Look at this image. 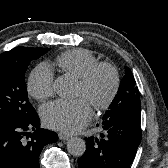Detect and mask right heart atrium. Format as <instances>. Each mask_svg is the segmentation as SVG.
Masks as SVG:
<instances>
[{
    "instance_id": "obj_1",
    "label": "right heart atrium",
    "mask_w": 168,
    "mask_h": 168,
    "mask_svg": "<svg viewBox=\"0 0 168 168\" xmlns=\"http://www.w3.org/2000/svg\"><path fill=\"white\" fill-rule=\"evenodd\" d=\"M28 94L43 101L54 94V75L47 65H39L30 73L27 81Z\"/></svg>"
}]
</instances>
